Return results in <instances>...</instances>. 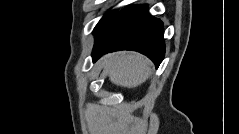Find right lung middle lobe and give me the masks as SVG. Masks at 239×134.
I'll return each mask as SVG.
<instances>
[{
    "label": "right lung middle lobe",
    "mask_w": 239,
    "mask_h": 134,
    "mask_svg": "<svg viewBox=\"0 0 239 134\" xmlns=\"http://www.w3.org/2000/svg\"><path fill=\"white\" fill-rule=\"evenodd\" d=\"M117 11H111L107 14H105L102 19L99 21V23L96 25V27L94 28V33L113 15L115 14Z\"/></svg>",
    "instance_id": "right-lung-middle-lobe-1"
}]
</instances>
